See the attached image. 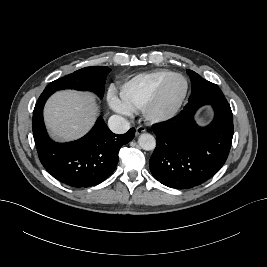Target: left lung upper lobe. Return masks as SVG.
I'll list each match as a JSON object with an SVG mask.
<instances>
[{"mask_svg":"<svg viewBox=\"0 0 267 267\" xmlns=\"http://www.w3.org/2000/svg\"><path fill=\"white\" fill-rule=\"evenodd\" d=\"M187 74L189 75L192 82V91L189 98L198 94H205L208 91L213 90V92H215L214 96L217 97V100L225 99L222 91L216 84L203 79L192 70H187Z\"/></svg>","mask_w":267,"mask_h":267,"instance_id":"obj_1","label":"left lung upper lobe"}]
</instances>
